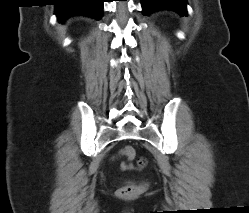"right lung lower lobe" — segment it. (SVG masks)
Instances as JSON below:
<instances>
[{"instance_id":"right-lung-lower-lobe-1","label":"right lung lower lobe","mask_w":249,"mask_h":213,"mask_svg":"<svg viewBox=\"0 0 249 213\" xmlns=\"http://www.w3.org/2000/svg\"><path fill=\"white\" fill-rule=\"evenodd\" d=\"M104 0H57L55 13L60 19L74 14H83L100 19Z\"/></svg>"}]
</instances>
